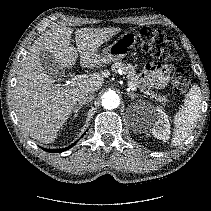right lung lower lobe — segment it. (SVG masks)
I'll use <instances>...</instances> for the list:
<instances>
[{
  "instance_id": "1",
  "label": "right lung lower lobe",
  "mask_w": 211,
  "mask_h": 211,
  "mask_svg": "<svg viewBox=\"0 0 211 211\" xmlns=\"http://www.w3.org/2000/svg\"><path fill=\"white\" fill-rule=\"evenodd\" d=\"M75 144H76V142L73 143L72 145L66 147V148H63V149H44V148H43V150H46L47 152H51V153H60V152H63V151H65V150H67V149L73 147Z\"/></svg>"
}]
</instances>
